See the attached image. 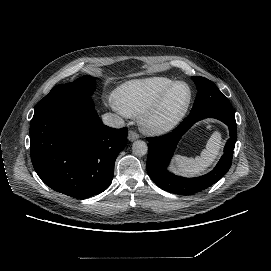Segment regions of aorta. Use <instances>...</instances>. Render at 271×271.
Instances as JSON below:
<instances>
[{"label": "aorta", "mask_w": 271, "mask_h": 271, "mask_svg": "<svg viewBox=\"0 0 271 271\" xmlns=\"http://www.w3.org/2000/svg\"><path fill=\"white\" fill-rule=\"evenodd\" d=\"M132 151L137 156H144L148 152V146L144 141L137 140L132 145Z\"/></svg>", "instance_id": "obj_1"}]
</instances>
